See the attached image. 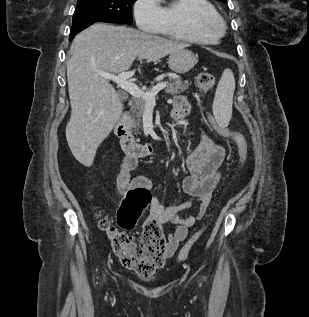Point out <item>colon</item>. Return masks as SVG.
<instances>
[{"label":"colon","mask_w":309,"mask_h":317,"mask_svg":"<svg viewBox=\"0 0 309 317\" xmlns=\"http://www.w3.org/2000/svg\"><path fill=\"white\" fill-rule=\"evenodd\" d=\"M197 84L202 93H209L215 84L214 76L203 72L199 74ZM222 134L231 138L236 144L240 167H242L248 155L245 138L242 134L227 129L222 130ZM150 200L151 193L148 190H130L125 195L118 211L117 227L106 218L100 219V226L108 234L113 251L120 262L126 268L143 276L152 274L164 264L166 239L163 229L157 221L147 220L139 238L126 231L135 226L143 211L149 206ZM199 236L200 233L196 234L184 245L179 254L180 260L187 257Z\"/></svg>","instance_id":"5ec220e1"}]
</instances>
